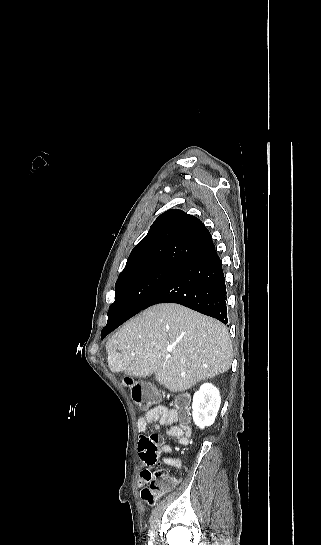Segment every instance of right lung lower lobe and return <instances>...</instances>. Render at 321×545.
<instances>
[{
    "label": "right lung lower lobe",
    "instance_id": "right-lung-lower-lobe-1",
    "mask_svg": "<svg viewBox=\"0 0 321 545\" xmlns=\"http://www.w3.org/2000/svg\"><path fill=\"white\" fill-rule=\"evenodd\" d=\"M226 300L222 263L211 242L178 267L142 309L158 303H177L227 324ZM125 321L112 319L103 328L101 338Z\"/></svg>",
    "mask_w": 321,
    "mask_h": 545
}]
</instances>
